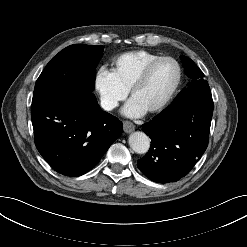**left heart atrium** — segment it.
<instances>
[{"label":"left heart atrium","instance_id":"1","mask_svg":"<svg viewBox=\"0 0 247 247\" xmlns=\"http://www.w3.org/2000/svg\"><path fill=\"white\" fill-rule=\"evenodd\" d=\"M122 112L128 117L139 118L147 112V109H145L135 99L132 98L124 106Z\"/></svg>","mask_w":247,"mask_h":247}]
</instances>
